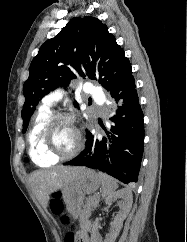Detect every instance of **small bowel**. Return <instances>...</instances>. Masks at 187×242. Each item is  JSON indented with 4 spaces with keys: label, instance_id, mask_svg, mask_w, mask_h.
<instances>
[{
    "label": "small bowel",
    "instance_id": "1",
    "mask_svg": "<svg viewBox=\"0 0 187 242\" xmlns=\"http://www.w3.org/2000/svg\"><path fill=\"white\" fill-rule=\"evenodd\" d=\"M91 222L88 220H84L80 224V228L76 234L78 238V242H88L89 232L91 230Z\"/></svg>",
    "mask_w": 187,
    "mask_h": 242
}]
</instances>
